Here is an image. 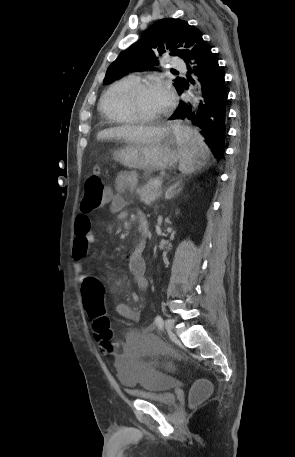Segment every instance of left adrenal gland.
<instances>
[{
  "mask_svg": "<svg viewBox=\"0 0 295 457\" xmlns=\"http://www.w3.org/2000/svg\"><path fill=\"white\" fill-rule=\"evenodd\" d=\"M181 184H182V181L179 180L175 184L170 186L165 193V199H171L175 195L179 194L180 191L182 190V187H180Z\"/></svg>",
  "mask_w": 295,
  "mask_h": 457,
  "instance_id": "left-adrenal-gland-1",
  "label": "left adrenal gland"
}]
</instances>
